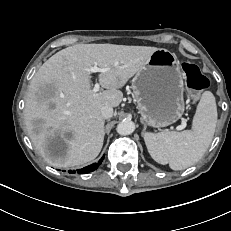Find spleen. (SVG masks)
<instances>
[{
    "label": "spleen",
    "mask_w": 231,
    "mask_h": 231,
    "mask_svg": "<svg viewBox=\"0 0 231 231\" xmlns=\"http://www.w3.org/2000/svg\"><path fill=\"white\" fill-rule=\"evenodd\" d=\"M217 123V107L210 91L202 94L193 118L191 130L143 133L151 157L159 164H169L173 170H183L195 164L207 151Z\"/></svg>",
    "instance_id": "1"
}]
</instances>
